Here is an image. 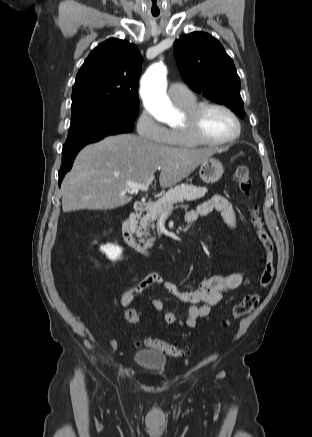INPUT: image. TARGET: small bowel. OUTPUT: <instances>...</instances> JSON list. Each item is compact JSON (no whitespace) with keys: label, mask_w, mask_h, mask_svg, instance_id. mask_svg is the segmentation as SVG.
<instances>
[{"label":"small bowel","mask_w":312,"mask_h":437,"mask_svg":"<svg viewBox=\"0 0 312 437\" xmlns=\"http://www.w3.org/2000/svg\"><path fill=\"white\" fill-rule=\"evenodd\" d=\"M220 212L224 222L234 228L237 224L236 214L233 204L223 195L216 194L202 202L196 210H190L185 214L187 223L195 222L200 216L207 215L211 211ZM243 281L242 272H233L228 275H215L203 279L193 290H181L176 285L166 282L158 273L147 274L137 284L126 289L120 296V305L128 307L137 296L144 293L147 289L155 285H161L175 298L189 304L188 314L185 320L177 317L172 312H166L163 316L165 323L169 325H182L194 328L197 320L206 317L212 308L217 306L223 294L238 288ZM152 306L157 311H164L165 304L160 299H153ZM117 344L114 340L108 342L110 350H114Z\"/></svg>","instance_id":"1"}]
</instances>
